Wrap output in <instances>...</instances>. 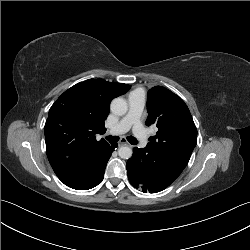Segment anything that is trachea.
Wrapping results in <instances>:
<instances>
[{
  "instance_id": "3493384b",
  "label": "trachea",
  "mask_w": 250,
  "mask_h": 250,
  "mask_svg": "<svg viewBox=\"0 0 250 250\" xmlns=\"http://www.w3.org/2000/svg\"><path fill=\"white\" fill-rule=\"evenodd\" d=\"M106 139L111 142H117L119 140L118 136H107ZM127 140L132 144L136 145L138 143L137 139L133 136H128Z\"/></svg>"
}]
</instances>
